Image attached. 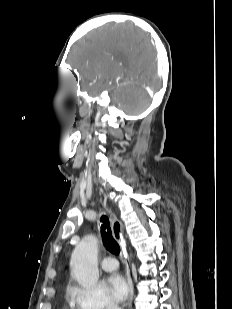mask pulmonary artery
Listing matches in <instances>:
<instances>
[{"label":"pulmonary artery","instance_id":"1","mask_svg":"<svg viewBox=\"0 0 232 309\" xmlns=\"http://www.w3.org/2000/svg\"><path fill=\"white\" fill-rule=\"evenodd\" d=\"M118 267V263L113 257H105L101 261V268L105 271H113Z\"/></svg>","mask_w":232,"mask_h":309}]
</instances>
